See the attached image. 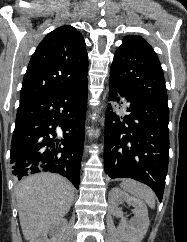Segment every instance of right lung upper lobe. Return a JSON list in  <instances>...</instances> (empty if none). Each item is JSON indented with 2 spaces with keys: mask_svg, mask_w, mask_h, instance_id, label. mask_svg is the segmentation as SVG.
<instances>
[{
  "mask_svg": "<svg viewBox=\"0 0 187 242\" xmlns=\"http://www.w3.org/2000/svg\"><path fill=\"white\" fill-rule=\"evenodd\" d=\"M88 55L83 36L72 26L50 32L31 57L20 103L42 97L87 79Z\"/></svg>",
  "mask_w": 187,
  "mask_h": 242,
  "instance_id": "right-lung-upper-lobe-1",
  "label": "right lung upper lobe"
}]
</instances>
